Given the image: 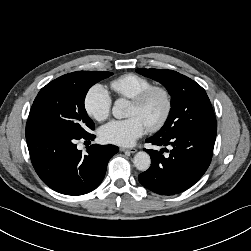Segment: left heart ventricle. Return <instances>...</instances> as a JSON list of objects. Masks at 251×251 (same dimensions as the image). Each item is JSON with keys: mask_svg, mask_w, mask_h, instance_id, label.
Instances as JSON below:
<instances>
[{"mask_svg": "<svg viewBox=\"0 0 251 251\" xmlns=\"http://www.w3.org/2000/svg\"><path fill=\"white\" fill-rule=\"evenodd\" d=\"M163 108V99L160 95H154L144 107H138L131 102L128 115L139 116L148 126L158 117Z\"/></svg>", "mask_w": 251, "mask_h": 251, "instance_id": "obj_1", "label": "left heart ventricle"}]
</instances>
